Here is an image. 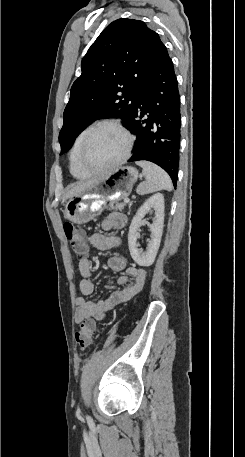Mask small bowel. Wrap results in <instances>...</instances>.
<instances>
[{
  "instance_id": "c3829d8e",
  "label": "small bowel",
  "mask_w": 245,
  "mask_h": 457,
  "mask_svg": "<svg viewBox=\"0 0 245 457\" xmlns=\"http://www.w3.org/2000/svg\"><path fill=\"white\" fill-rule=\"evenodd\" d=\"M127 222V217L119 212H112L103 219L101 227L105 232L122 229ZM88 242L97 249L107 250L117 247L120 244V238L115 235L95 233L87 238ZM108 267L116 272H122L117 280L118 288L111 294L98 302L87 300L83 296H90L94 292L92 282L91 263L86 258H81L78 263V270L81 275L79 290L82 297L76 300L75 320L81 323L86 319L102 320L105 313L114 307L123 304L137 294L143 287L146 271L138 266H128L125 258L121 256H112L107 260Z\"/></svg>"
}]
</instances>
